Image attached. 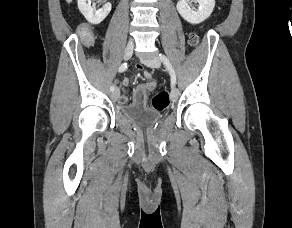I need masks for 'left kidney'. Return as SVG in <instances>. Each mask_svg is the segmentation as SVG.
Listing matches in <instances>:
<instances>
[{"label": "left kidney", "instance_id": "1", "mask_svg": "<svg viewBox=\"0 0 292 228\" xmlns=\"http://www.w3.org/2000/svg\"><path fill=\"white\" fill-rule=\"evenodd\" d=\"M199 3L197 11L191 9L189 0H179L177 10L179 14L191 24H199L206 20L212 13L215 0H196Z\"/></svg>", "mask_w": 292, "mask_h": 228}]
</instances>
